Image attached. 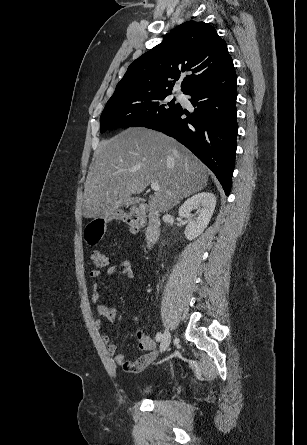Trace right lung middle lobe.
I'll list each match as a JSON object with an SVG mask.
<instances>
[{
    "label": "right lung middle lobe",
    "mask_w": 307,
    "mask_h": 445,
    "mask_svg": "<svg viewBox=\"0 0 307 445\" xmlns=\"http://www.w3.org/2000/svg\"><path fill=\"white\" fill-rule=\"evenodd\" d=\"M170 94L113 97L100 117V132L120 127L147 126L165 116L180 104L168 101Z\"/></svg>",
    "instance_id": "dd1d6c3e"
}]
</instances>
